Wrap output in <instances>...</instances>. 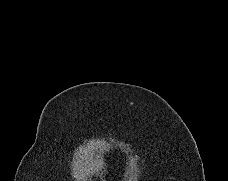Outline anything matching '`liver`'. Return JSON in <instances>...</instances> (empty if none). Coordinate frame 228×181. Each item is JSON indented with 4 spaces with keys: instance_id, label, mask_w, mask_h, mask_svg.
Masks as SVG:
<instances>
[{
    "instance_id": "1",
    "label": "liver",
    "mask_w": 228,
    "mask_h": 181,
    "mask_svg": "<svg viewBox=\"0 0 228 181\" xmlns=\"http://www.w3.org/2000/svg\"><path fill=\"white\" fill-rule=\"evenodd\" d=\"M100 165H101L100 157H97V159H95V161H91V163H90L91 175H97V173H99Z\"/></svg>"
}]
</instances>
